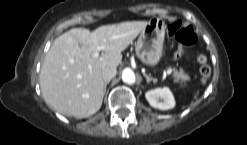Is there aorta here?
I'll list each match as a JSON object with an SVG mask.
<instances>
[{
    "instance_id": "762f6f07",
    "label": "aorta",
    "mask_w": 247,
    "mask_h": 145,
    "mask_svg": "<svg viewBox=\"0 0 247 145\" xmlns=\"http://www.w3.org/2000/svg\"><path fill=\"white\" fill-rule=\"evenodd\" d=\"M122 80H123L124 83H127V84L135 83V74H134V72L129 68L124 69L123 72H122Z\"/></svg>"
}]
</instances>
